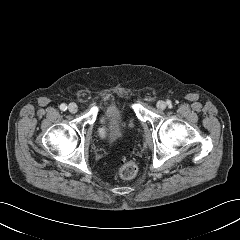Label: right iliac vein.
<instances>
[{"instance_id": "obj_1", "label": "right iliac vein", "mask_w": 240, "mask_h": 240, "mask_svg": "<svg viewBox=\"0 0 240 240\" xmlns=\"http://www.w3.org/2000/svg\"><path fill=\"white\" fill-rule=\"evenodd\" d=\"M68 110L71 113H76L78 110V106L75 103H70L68 106Z\"/></svg>"}]
</instances>
